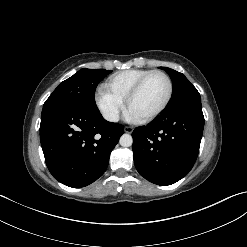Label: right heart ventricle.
<instances>
[{"label":"right heart ventricle","mask_w":247,"mask_h":247,"mask_svg":"<svg viewBox=\"0 0 247 247\" xmlns=\"http://www.w3.org/2000/svg\"><path fill=\"white\" fill-rule=\"evenodd\" d=\"M150 71L146 69H130L116 73L108 78L105 88L120 100L125 101L134 85Z\"/></svg>","instance_id":"1"}]
</instances>
